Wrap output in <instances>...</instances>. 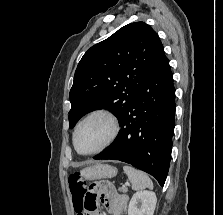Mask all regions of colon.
Instances as JSON below:
<instances>
[{
	"label": "colon",
	"instance_id": "colon-1",
	"mask_svg": "<svg viewBox=\"0 0 223 215\" xmlns=\"http://www.w3.org/2000/svg\"><path fill=\"white\" fill-rule=\"evenodd\" d=\"M69 187L76 214L89 215L95 209V207L85 202V182L79 173H74L69 176Z\"/></svg>",
	"mask_w": 223,
	"mask_h": 215
}]
</instances>
